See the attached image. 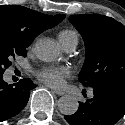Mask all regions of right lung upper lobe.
Masks as SVG:
<instances>
[{"label":"right lung upper lobe","instance_id":"cb5924a9","mask_svg":"<svg viewBox=\"0 0 125 125\" xmlns=\"http://www.w3.org/2000/svg\"><path fill=\"white\" fill-rule=\"evenodd\" d=\"M65 15H46L19 5H0V44L27 48L36 36L56 26Z\"/></svg>","mask_w":125,"mask_h":125}]
</instances>
